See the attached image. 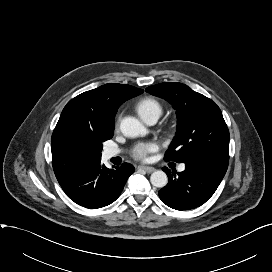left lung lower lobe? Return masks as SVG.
<instances>
[{
    "label": "left lung lower lobe",
    "instance_id": "left-lung-lower-lobe-1",
    "mask_svg": "<svg viewBox=\"0 0 272 272\" xmlns=\"http://www.w3.org/2000/svg\"><path fill=\"white\" fill-rule=\"evenodd\" d=\"M229 157L206 156L185 163V171L175 175L166 167L168 184L159 191L167 206L188 210L204 204L216 191L228 167Z\"/></svg>",
    "mask_w": 272,
    "mask_h": 272
}]
</instances>
